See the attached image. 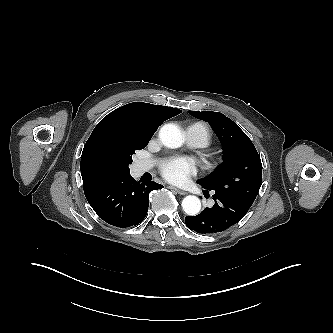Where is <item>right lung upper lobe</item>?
Here are the masks:
<instances>
[{
	"instance_id": "obj_1",
	"label": "right lung upper lobe",
	"mask_w": 333,
	"mask_h": 333,
	"mask_svg": "<svg viewBox=\"0 0 333 333\" xmlns=\"http://www.w3.org/2000/svg\"><path fill=\"white\" fill-rule=\"evenodd\" d=\"M181 112L172 107L133 102L105 116L94 128L82 152L80 169L83 186L109 176L108 170L96 157L98 140L105 132L115 130L150 140L165 120Z\"/></svg>"
}]
</instances>
